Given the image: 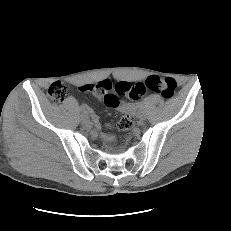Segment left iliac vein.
I'll return each mask as SVG.
<instances>
[{
  "mask_svg": "<svg viewBox=\"0 0 231 231\" xmlns=\"http://www.w3.org/2000/svg\"><path fill=\"white\" fill-rule=\"evenodd\" d=\"M138 118L140 119V120H145V118H146V114H145V112H143V111H140L139 113H138Z\"/></svg>",
  "mask_w": 231,
  "mask_h": 231,
  "instance_id": "left-iliac-vein-1",
  "label": "left iliac vein"
}]
</instances>
